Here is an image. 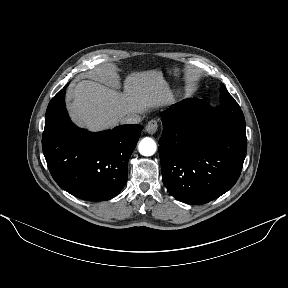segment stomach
Instances as JSON below:
<instances>
[{
	"mask_svg": "<svg viewBox=\"0 0 288 288\" xmlns=\"http://www.w3.org/2000/svg\"><path fill=\"white\" fill-rule=\"evenodd\" d=\"M168 71H169V73H171V74H173L175 76H177L178 73H179V69L177 67H171V68L168 69Z\"/></svg>",
	"mask_w": 288,
	"mask_h": 288,
	"instance_id": "obj_1",
	"label": "stomach"
}]
</instances>
